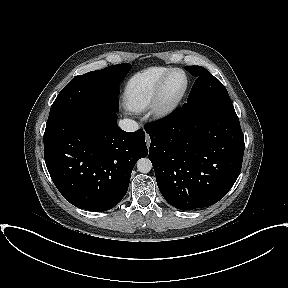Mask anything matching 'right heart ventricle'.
Listing matches in <instances>:
<instances>
[{
    "label": "right heart ventricle",
    "mask_w": 288,
    "mask_h": 288,
    "mask_svg": "<svg viewBox=\"0 0 288 288\" xmlns=\"http://www.w3.org/2000/svg\"><path fill=\"white\" fill-rule=\"evenodd\" d=\"M169 67L153 66L134 74L127 83L125 104L133 112L146 109L152 102L156 88Z\"/></svg>",
    "instance_id": "e07e8e85"
}]
</instances>
